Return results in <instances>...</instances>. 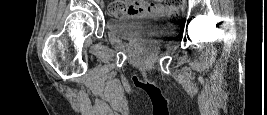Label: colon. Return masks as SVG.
Instances as JSON below:
<instances>
[{"label":"colon","mask_w":267,"mask_h":115,"mask_svg":"<svg viewBox=\"0 0 267 115\" xmlns=\"http://www.w3.org/2000/svg\"><path fill=\"white\" fill-rule=\"evenodd\" d=\"M184 2V0H168L165 4L169 6L171 10L175 11L180 9L183 6ZM126 13H132L131 7L126 4L113 3L108 7V14L112 17H118Z\"/></svg>","instance_id":"5ec220e1"}]
</instances>
